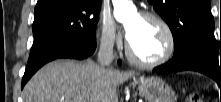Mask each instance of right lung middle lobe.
<instances>
[{"label":"right lung middle lobe","instance_id":"right-lung-middle-lobe-1","mask_svg":"<svg viewBox=\"0 0 221 102\" xmlns=\"http://www.w3.org/2000/svg\"><path fill=\"white\" fill-rule=\"evenodd\" d=\"M101 2L48 0L37 4L34 14V42L30 57L62 40L96 42Z\"/></svg>","mask_w":221,"mask_h":102}]
</instances>
